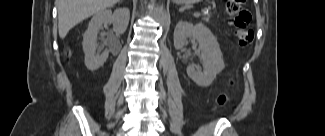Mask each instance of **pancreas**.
<instances>
[{
  "instance_id": "pancreas-1",
  "label": "pancreas",
  "mask_w": 325,
  "mask_h": 136,
  "mask_svg": "<svg viewBox=\"0 0 325 136\" xmlns=\"http://www.w3.org/2000/svg\"><path fill=\"white\" fill-rule=\"evenodd\" d=\"M202 18H203V19H208V18H209V16H202Z\"/></svg>"
}]
</instances>
